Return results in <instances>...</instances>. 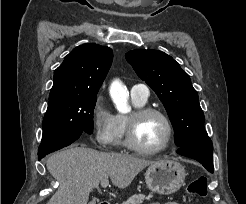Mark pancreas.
I'll use <instances>...</instances> for the list:
<instances>
[{"instance_id": "cf45deb5", "label": "pancreas", "mask_w": 246, "mask_h": 204, "mask_svg": "<svg viewBox=\"0 0 246 204\" xmlns=\"http://www.w3.org/2000/svg\"><path fill=\"white\" fill-rule=\"evenodd\" d=\"M152 197V195L145 196L144 194H135L129 197L122 204H141L144 200H150Z\"/></svg>"}]
</instances>
